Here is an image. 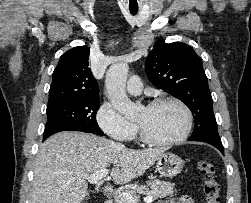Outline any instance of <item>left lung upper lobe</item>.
I'll return each instance as SVG.
<instances>
[{"label": "left lung upper lobe", "instance_id": "1", "mask_svg": "<svg viewBox=\"0 0 251 203\" xmlns=\"http://www.w3.org/2000/svg\"><path fill=\"white\" fill-rule=\"evenodd\" d=\"M145 69L157 88L184 102L194 115V139L220 140L213 112V100L201 58L185 43L166 44L157 40Z\"/></svg>", "mask_w": 251, "mask_h": 203}]
</instances>
